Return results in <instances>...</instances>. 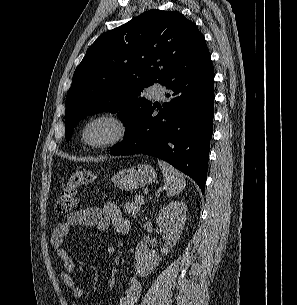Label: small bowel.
I'll return each mask as SVG.
<instances>
[{
    "label": "small bowel",
    "instance_id": "1",
    "mask_svg": "<svg viewBox=\"0 0 297 305\" xmlns=\"http://www.w3.org/2000/svg\"><path fill=\"white\" fill-rule=\"evenodd\" d=\"M92 226L100 231L114 228L117 232L126 231L128 222L122 217L120 208L114 203H106L103 206H91L70 214L64 221L59 222L53 230L51 242L58 257L63 263L61 279L75 298H81L85 294L83 286L77 285L73 278L75 263L64 246V240L74 226ZM107 254L115 252V246H106ZM141 294V284L135 276L129 278L128 284L121 295L118 305H136Z\"/></svg>",
    "mask_w": 297,
    "mask_h": 305
}]
</instances>
